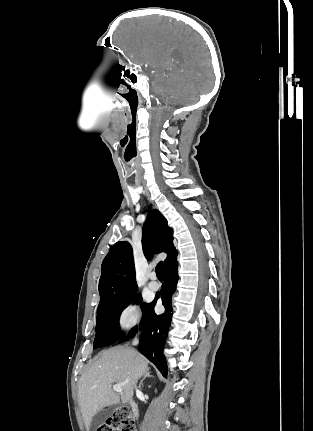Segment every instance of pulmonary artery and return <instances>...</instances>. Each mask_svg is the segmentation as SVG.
<instances>
[{
    "label": "pulmonary artery",
    "mask_w": 313,
    "mask_h": 431,
    "mask_svg": "<svg viewBox=\"0 0 313 431\" xmlns=\"http://www.w3.org/2000/svg\"><path fill=\"white\" fill-rule=\"evenodd\" d=\"M148 287L153 291H156L160 288V285H159L158 281L156 280V277L154 274L151 275V280L148 284Z\"/></svg>",
    "instance_id": "pulmonary-artery-1"
}]
</instances>
